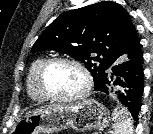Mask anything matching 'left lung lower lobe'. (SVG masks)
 Instances as JSON below:
<instances>
[{"label":"left lung lower lobe","instance_id":"left-lung-lower-lobe-1","mask_svg":"<svg viewBox=\"0 0 153 134\" xmlns=\"http://www.w3.org/2000/svg\"><path fill=\"white\" fill-rule=\"evenodd\" d=\"M143 70V54L139 46L110 67V71H107L95 86V91L109 93L112 85L123 87L124 93L119 95L120 101L131 112L133 119L137 120L143 93Z\"/></svg>","mask_w":153,"mask_h":134}]
</instances>
